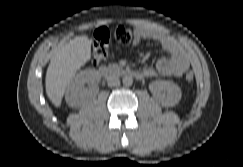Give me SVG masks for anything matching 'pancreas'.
<instances>
[{
  "mask_svg": "<svg viewBox=\"0 0 243 167\" xmlns=\"http://www.w3.org/2000/svg\"><path fill=\"white\" fill-rule=\"evenodd\" d=\"M110 68H113V69H120L119 65L116 64V63H112L109 65Z\"/></svg>",
  "mask_w": 243,
  "mask_h": 167,
  "instance_id": "obj_1",
  "label": "pancreas"
}]
</instances>
